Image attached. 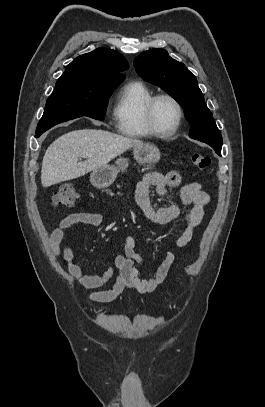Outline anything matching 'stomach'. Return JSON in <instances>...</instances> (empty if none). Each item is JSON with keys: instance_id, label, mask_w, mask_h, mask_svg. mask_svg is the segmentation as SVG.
Wrapping results in <instances>:
<instances>
[{"instance_id": "stomach-1", "label": "stomach", "mask_w": 265, "mask_h": 407, "mask_svg": "<svg viewBox=\"0 0 265 407\" xmlns=\"http://www.w3.org/2000/svg\"><path fill=\"white\" fill-rule=\"evenodd\" d=\"M135 160L141 165H153L160 160L159 149L149 143H142L133 148ZM116 165H105L95 169L90 175V181L96 188H106L110 186L120 171H126L129 162L126 158H118Z\"/></svg>"}]
</instances>
